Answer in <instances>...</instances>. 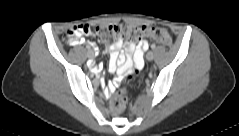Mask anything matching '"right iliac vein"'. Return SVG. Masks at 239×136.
<instances>
[{
	"label": "right iliac vein",
	"instance_id": "1",
	"mask_svg": "<svg viewBox=\"0 0 239 136\" xmlns=\"http://www.w3.org/2000/svg\"><path fill=\"white\" fill-rule=\"evenodd\" d=\"M88 56H89L90 58H93V57L95 56V54H94V52H93L92 50H89V51H88Z\"/></svg>",
	"mask_w": 239,
	"mask_h": 136
}]
</instances>
